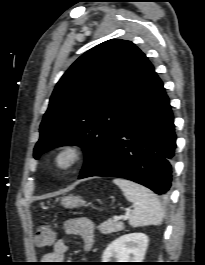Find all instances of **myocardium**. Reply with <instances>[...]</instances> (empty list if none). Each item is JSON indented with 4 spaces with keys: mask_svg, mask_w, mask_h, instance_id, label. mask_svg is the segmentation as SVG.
I'll list each match as a JSON object with an SVG mask.
<instances>
[{
    "mask_svg": "<svg viewBox=\"0 0 205 265\" xmlns=\"http://www.w3.org/2000/svg\"><path fill=\"white\" fill-rule=\"evenodd\" d=\"M85 150L76 142L59 145L52 153L50 164L54 171L67 173L76 168L84 159Z\"/></svg>",
    "mask_w": 205,
    "mask_h": 265,
    "instance_id": "obj_1",
    "label": "myocardium"
}]
</instances>
